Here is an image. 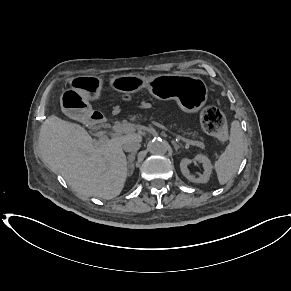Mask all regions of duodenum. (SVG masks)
Instances as JSON below:
<instances>
[{
	"mask_svg": "<svg viewBox=\"0 0 291 291\" xmlns=\"http://www.w3.org/2000/svg\"><path fill=\"white\" fill-rule=\"evenodd\" d=\"M90 123L95 127H105L108 125V121L105 116L99 111H93L90 114Z\"/></svg>",
	"mask_w": 291,
	"mask_h": 291,
	"instance_id": "obj_1",
	"label": "duodenum"
}]
</instances>
